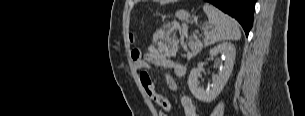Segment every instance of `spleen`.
<instances>
[{"instance_id": "spleen-1", "label": "spleen", "mask_w": 305, "mask_h": 116, "mask_svg": "<svg viewBox=\"0 0 305 116\" xmlns=\"http://www.w3.org/2000/svg\"><path fill=\"white\" fill-rule=\"evenodd\" d=\"M203 10L209 21V26L204 31L206 45L241 38L239 24L235 19L208 3L203 6Z\"/></svg>"}]
</instances>
